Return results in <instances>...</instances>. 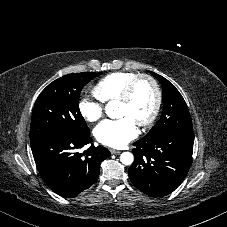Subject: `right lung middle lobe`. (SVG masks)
I'll return each mask as SVG.
<instances>
[{
	"instance_id": "obj_1",
	"label": "right lung middle lobe",
	"mask_w": 227,
	"mask_h": 227,
	"mask_svg": "<svg viewBox=\"0 0 227 227\" xmlns=\"http://www.w3.org/2000/svg\"><path fill=\"white\" fill-rule=\"evenodd\" d=\"M101 73L68 74L50 83L38 96L30 126V141L50 132L85 134L89 128L78 100L82 88Z\"/></svg>"
}]
</instances>
